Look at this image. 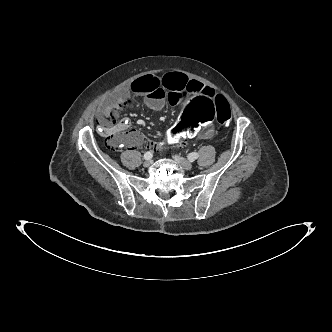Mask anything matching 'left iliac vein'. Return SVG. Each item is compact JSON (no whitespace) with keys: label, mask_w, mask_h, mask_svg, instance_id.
I'll list each match as a JSON object with an SVG mask.
<instances>
[{"label":"left iliac vein","mask_w":332,"mask_h":332,"mask_svg":"<svg viewBox=\"0 0 332 332\" xmlns=\"http://www.w3.org/2000/svg\"><path fill=\"white\" fill-rule=\"evenodd\" d=\"M173 159L177 162V164L181 168H183L185 170H191L193 167L192 164L188 160L184 159L183 157H181L179 155H174Z\"/></svg>","instance_id":"1"}]
</instances>
